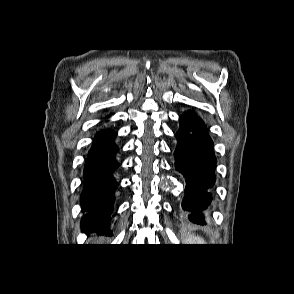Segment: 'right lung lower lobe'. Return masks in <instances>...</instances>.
<instances>
[{"label":"right lung lower lobe","instance_id":"98d812e1","mask_svg":"<svg viewBox=\"0 0 294 294\" xmlns=\"http://www.w3.org/2000/svg\"><path fill=\"white\" fill-rule=\"evenodd\" d=\"M116 132H97L89 151L84 169V191L81 197L82 230L86 233L101 231L107 233L110 213L114 202L117 183L113 171L118 167L115 154L118 151L113 143Z\"/></svg>","mask_w":294,"mask_h":294}]
</instances>
